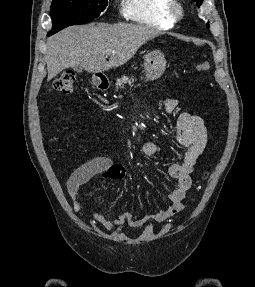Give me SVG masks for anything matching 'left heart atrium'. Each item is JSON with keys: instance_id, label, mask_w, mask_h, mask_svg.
I'll return each instance as SVG.
<instances>
[{"instance_id": "left-heart-atrium-1", "label": "left heart atrium", "mask_w": 255, "mask_h": 287, "mask_svg": "<svg viewBox=\"0 0 255 287\" xmlns=\"http://www.w3.org/2000/svg\"><path fill=\"white\" fill-rule=\"evenodd\" d=\"M128 33H134V32H128ZM122 39H135V38H122ZM125 48H132V47H125Z\"/></svg>"}]
</instances>
